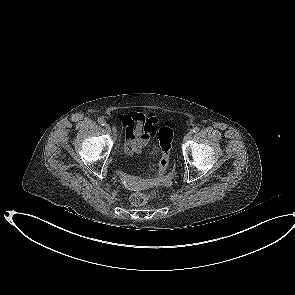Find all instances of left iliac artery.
Returning a JSON list of instances; mask_svg holds the SVG:
<instances>
[{"label":"left iliac artery","instance_id":"obj_1","mask_svg":"<svg viewBox=\"0 0 295 295\" xmlns=\"http://www.w3.org/2000/svg\"><path fill=\"white\" fill-rule=\"evenodd\" d=\"M199 130H200L199 127H195V128L192 129V132H193V133H197V132H199Z\"/></svg>","mask_w":295,"mask_h":295}]
</instances>
